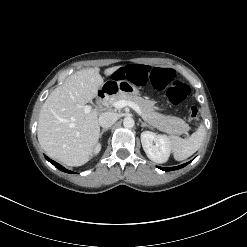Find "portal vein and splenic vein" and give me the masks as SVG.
<instances>
[{
  "label": "portal vein and splenic vein",
  "mask_w": 247,
  "mask_h": 247,
  "mask_svg": "<svg viewBox=\"0 0 247 247\" xmlns=\"http://www.w3.org/2000/svg\"><path fill=\"white\" fill-rule=\"evenodd\" d=\"M113 107H115L116 109H121L124 108L126 106L131 107L138 115L142 116V112L140 107L135 104L134 102L131 101H126V100H119L116 101L112 104ZM79 108H82L84 110V113L87 114L91 111L92 107L90 105H78Z\"/></svg>",
  "instance_id": "18ae733b"
}]
</instances>
